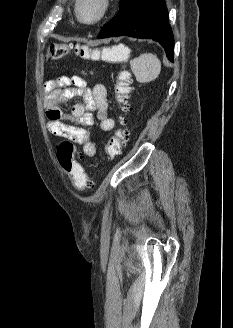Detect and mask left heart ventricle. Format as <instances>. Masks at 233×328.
<instances>
[{
    "label": "left heart ventricle",
    "mask_w": 233,
    "mask_h": 328,
    "mask_svg": "<svg viewBox=\"0 0 233 328\" xmlns=\"http://www.w3.org/2000/svg\"><path fill=\"white\" fill-rule=\"evenodd\" d=\"M99 0H83L82 15L85 19L93 18L99 11Z\"/></svg>",
    "instance_id": "obj_1"
}]
</instances>
